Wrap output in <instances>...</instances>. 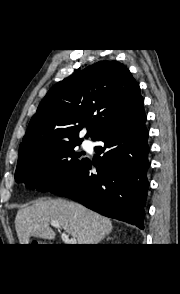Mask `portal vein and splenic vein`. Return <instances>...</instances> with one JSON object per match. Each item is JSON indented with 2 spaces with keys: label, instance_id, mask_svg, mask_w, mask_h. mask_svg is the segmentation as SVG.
I'll use <instances>...</instances> for the list:
<instances>
[{
  "label": "portal vein and splenic vein",
  "instance_id": "obj_1",
  "mask_svg": "<svg viewBox=\"0 0 180 294\" xmlns=\"http://www.w3.org/2000/svg\"><path fill=\"white\" fill-rule=\"evenodd\" d=\"M51 226L57 228V229H61V226L58 222H51L50 223ZM61 237H62V240L66 243V244H71V245H75L77 244V240L75 238H69V236L65 233V232H62L61 233Z\"/></svg>",
  "mask_w": 180,
  "mask_h": 294
}]
</instances>
